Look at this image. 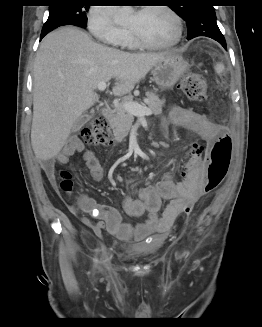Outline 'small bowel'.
Wrapping results in <instances>:
<instances>
[{
    "label": "small bowel",
    "mask_w": 262,
    "mask_h": 327,
    "mask_svg": "<svg viewBox=\"0 0 262 327\" xmlns=\"http://www.w3.org/2000/svg\"><path fill=\"white\" fill-rule=\"evenodd\" d=\"M169 121L181 126L192 133L193 136L211 145L213 136L217 135L222 126L211 122L206 115L188 108L174 106L170 110ZM76 152H83V159L95 181L103 178V168L90 150H84L83 144L77 137H71L57 156L58 164H66L68 158ZM208 153H186L185 159H175L174 165L182 170L181 181H174L171 176H164L155 185L145 186L140 190L138 199L127 197L123 207L132 217L146 215L144 221L131 225L121 220L119 212L110 206L98 204L91 197L81 194L78 198V208L96 218V221L82 218V223L100 234L104 228L113 236L121 240L136 241L152 233H165L172 226L174 220L180 215L181 209L187 200L192 198L196 202L202 193L203 183L207 182L204 176V167L200 160H208ZM53 165H46L45 171L51 174ZM163 200H168L164 212L160 215Z\"/></svg>",
    "instance_id": "obj_1"
}]
</instances>
